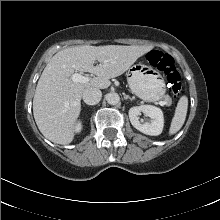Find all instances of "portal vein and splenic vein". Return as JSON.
Masks as SVG:
<instances>
[{
    "mask_svg": "<svg viewBox=\"0 0 220 220\" xmlns=\"http://www.w3.org/2000/svg\"><path fill=\"white\" fill-rule=\"evenodd\" d=\"M73 82H79V83H83V84H86L89 82V78L86 77V76H83L81 74H78V73H74L72 76H71ZM158 104L160 106H164L166 103L164 101H159Z\"/></svg>",
    "mask_w": 220,
    "mask_h": 220,
    "instance_id": "obj_1",
    "label": "portal vein and splenic vein"
}]
</instances>
